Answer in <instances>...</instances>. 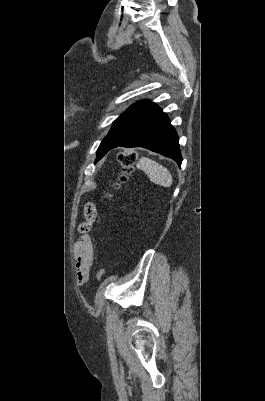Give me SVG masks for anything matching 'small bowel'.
I'll list each match as a JSON object with an SVG mask.
<instances>
[{
    "label": "small bowel",
    "instance_id": "1",
    "mask_svg": "<svg viewBox=\"0 0 265 401\" xmlns=\"http://www.w3.org/2000/svg\"><path fill=\"white\" fill-rule=\"evenodd\" d=\"M97 214L95 203L87 202L84 205V221L78 226L81 236L75 248L77 276L80 284L88 280L93 265L94 247L89 232L97 219Z\"/></svg>",
    "mask_w": 265,
    "mask_h": 401
}]
</instances>
